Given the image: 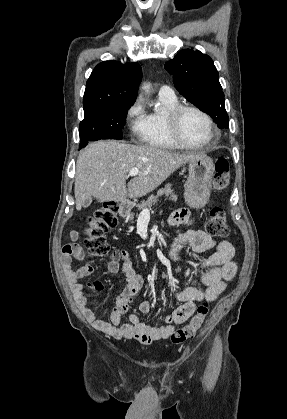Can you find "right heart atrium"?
Returning a JSON list of instances; mask_svg holds the SVG:
<instances>
[{
    "instance_id": "right-heart-atrium-1",
    "label": "right heart atrium",
    "mask_w": 287,
    "mask_h": 419,
    "mask_svg": "<svg viewBox=\"0 0 287 419\" xmlns=\"http://www.w3.org/2000/svg\"><path fill=\"white\" fill-rule=\"evenodd\" d=\"M145 118L146 113L143 103L140 99H136L126 113L127 124L132 135L140 137L144 130Z\"/></svg>"
}]
</instances>
